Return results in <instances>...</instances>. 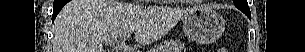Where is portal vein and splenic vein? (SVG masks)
Listing matches in <instances>:
<instances>
[{"label": "portal vein and splenic vein", "mask_w": 305, "mask_h": 52, "mask_svg": "<svg viewBox=\"0 0 305 52\" xmlns=\"http://www.w3.org/2000/svg\"><path fill=\"white\" fill-rule=\"evenodd\" d=\"M128 35H123L122 37H120L117 41V48L122 49L124 52H134L133 49H129L128 47L125 46L124 40L129 36ZM108 41V40H106ZM111 41V40H109Z\"/></svg>", "instance_id": "1"}]
</instances>
